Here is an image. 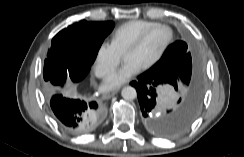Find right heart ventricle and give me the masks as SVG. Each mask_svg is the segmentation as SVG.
<instances>
[{
    "mask_svg": "<svg viewBox=\"0 0 244 157\" xmlns=\"http://www.w3.org/2000/svg\"><path fill=\"white\" fill-rule=\"evenodd\" d=\"M158 23L147 20H130L118 26L112 34V43L123 53L127 46L144 30Z\"/></svg>",
    "mask_w": 244,
    "mask_h": 157,
    "instance_id": "obj_1",
    "label": "right heart ventricle"
}]
</instances>
